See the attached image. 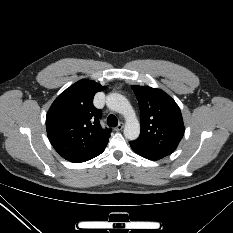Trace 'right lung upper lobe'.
I'll return each mask as SVG.
<instances>
[{
    "label": "right lung upper lobe",
    "mask_w": 233,
    "mask_h": 233,
    "mask_svg": "<svg viewBox=\"0 0 233 233\" xmlns=\"http://www.w3.org/2000/svg\"><path fill=\"white\" fill-rule=\"evenodd\" d=\"M102 90L95 81L80 80L62 92L47 113L48 139L70 162L90 160L108 143L111 130L101 127V111L93 105L94 95Z\"/></svg>",
    "instance_id": "cb5924a9"
}]
</instances>
